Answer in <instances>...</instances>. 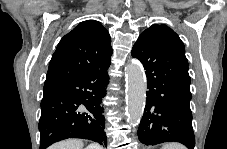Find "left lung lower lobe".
<instances>
[{
  "instance_id": "obj_1",
  "label": "left lung lower lobe",
  "mask_w": 227,
  "mask_h": 149,
  "mask_svg": "<svg viewBox=\"0 0 227 149\" xmlns=\"http://www.w3.org/2000/svg\"><path fill=\"white\" fill-rule=\"evenodd\" d=\"M132 56L143 64L149 89L138 128L140 142H179L194 149L188 63L154 26L138 37Z\"/></svg>"
}]
</instances>
